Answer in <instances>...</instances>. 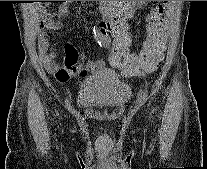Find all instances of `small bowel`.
Masks as SVG:
<instances>
[{"label":"small bowel","mask_w":207,"mask_h":169,"mask_svg":"<svg viewBox=\"0 0 207 169\" xmlns=\"http://www.w3.org/2000/svg\"><path fill=\"white\" fill-rule=\"evenodd\" d=\"M60 2L61 5L59 6L58 12L56 14L43 15L39 25L40 35L38 45L40 56L44 61L46 69L54 73L60 82H65L73 76H85L91 71L98 70L103 67V63L81 61L78 57L77 49L72 44H67L65 48V57L61 65L53 60L52 55L49 53V43L45 36V30L56 27L57 21L68 12L67 4L72 3L73 1ZM100 2L101 10L107 17V19L101 23L102 37L100 38V44L104 46L108 45L109 40L107 36L110 34L116 35L113 44H120L122 42L128 43V38L124 30V23L126 19L132 16V7H126L123 11H118L116 8L112 7L111 1ZM132 3H136V1H133ZM109 61L112 64H118L114 55L109 58ZM153 70L154 68H148L145 70V72H152Z\"/></svg>","instance_id":"1"}]
</instances>
